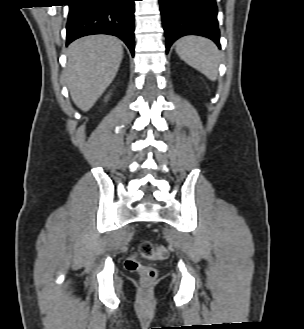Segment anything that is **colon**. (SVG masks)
I'll return each instance as SVG.
<instances>
[{
	"instance_id": "obj_1",
	"label": "colon",
	"mask_w": 304,
	"mask_h": 329,
	"mask_svg": "<svg viewBox=\"0 0 304 329\" xmlns=\"http://www.w3.org/2000/svg\"><path fill=\"white\" fill-rule=\"evenodd\" d=\"M139 254L142 257L153 261L164 260L167 258L165 247L151 241H143L140 244ZM125 268L129 271L137 272L142 283H151L157 276L154 267L141 264L135 255L125 260Z\"/></svg>"
}]
</instances>
